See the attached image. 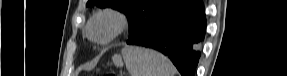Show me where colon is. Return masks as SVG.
Listing matches in <instances>:
<instances>
[{
	"label": "colon",
	"mask_w": 287,
	"mask_h": 76,
	"mask_svg": "<svg viewBox=\"0 0 287 76\" xmlns=\"http://www.w3.org/2000/svg\"><path fill=\"white\" fill-rule=\"evenodd\" d=\"M108 76H115V74L114 73H110V74H108Z\"/></svg>",
	"instance_id": "5ec220e1"
}]
</instances>
